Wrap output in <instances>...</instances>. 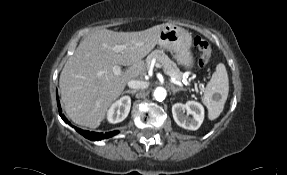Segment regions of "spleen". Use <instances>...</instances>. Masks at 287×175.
<instances>
[{
    "mask_svg": "<svg viewBox=\"0 0 287 175\" xmlns=\"http://www.w3.org/2000/svg\"><path fill=\"white\" fill-rule=\"evenodd\" d=\"M228 93L229 78L227 70L223 63H219L211 80L208 82L202 97V102L208 109V118L210 120L219 117L224 109ZM215 95L219 96V99H214Z\"/></svg>",
    "mask_w": 287,
    "mask_h": 175,
    "instance_id": "3e777b00",
    "label": "spleen"
}]
</instances>
